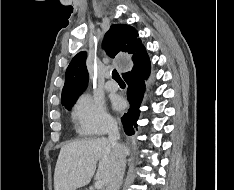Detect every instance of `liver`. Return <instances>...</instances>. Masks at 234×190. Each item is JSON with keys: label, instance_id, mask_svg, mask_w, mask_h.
Returning <instances> with one entry per match:
<instances>
[{"label": "liver", "instance_id": "obj_1", "mask_svg": "<svg viewBox=\"0 0 234 190\" xmlns=\"http://www.w3.org/2000/svg\"><path fill=\"white\" fill-rule=\"evenodd\" d=\"M125 156L127 147L121 145ZM107 186L112 165V147L108 139H86L74 141L61 147L54 173V190H76L86 186L94 176Z\"/></svg>", "mask_w": 234, "mask_h": 190}]
</instances>
